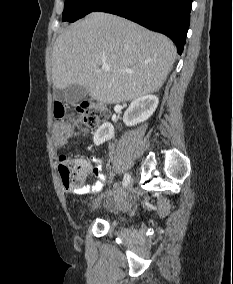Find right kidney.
I'll return each instance as SVG.
<instances>
[{
	"label": "right kidney",
	"mask_w": 233,
	"mask_h": 284,
	"mask_svg": "<svg viewBox=\"0 0 233 284\" xmlns=\"http://www.w3.org/2000/svg\"><path fill=\"white\" fill-rule=\"evenodd\" d=\"M159 99L155 95H145L131 102L123 116L127 126H134L146 121L155 112ZM114 137V127L111 123L102 124L94 134L95 145H100Z\"/></svg>",
	"instance_id": "obj_1"
}]
</instances>
